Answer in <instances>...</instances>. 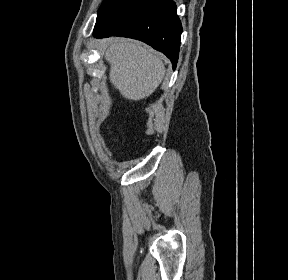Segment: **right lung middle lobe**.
<instances>
[{"label":"right lung middle lobe","instance_id":"right-lung-middle-lobe-1","mask_svg":"<svg viewBox=\"0 0 288 280\" xmlns=\"http://www.w3.org/2000/svg\"><path fill=\"white\" fill-rule=\"evenodd\" d=\"M122 1L123 0H104L99 11H98V17L101 16L102 13H104L106 10H108L109 8L114 6L115 4L120 3Z\"/></svg>","mask_w":288,"mask_h":280}]
</instances>
